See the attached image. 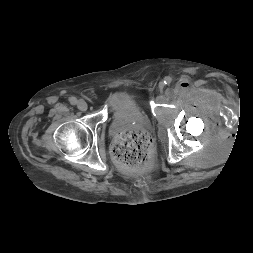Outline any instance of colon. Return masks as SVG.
Listing matches in <instances>:
<instances>
[{
	"instance_id": "1",
	"label": "colon",
	"mask_w": 253,
	"mask_h": 253,
	"mask_svg": "<svg viewBox=\"0 0 253 253\" xmlns=\"http://www.w3.org/2000/svg\"><path fill=\"white\" fill-rule=\"evenodd\" d=\"M150 152L149 136L138 130L118 134L111 146V154L117 166L130 172L145 168L149 162Z\"/></svg>"
}]
</instances>
